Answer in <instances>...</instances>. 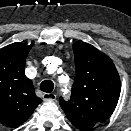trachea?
Returning a JSON list of instances; mask_svg holds the SVG:
<instances>
[{"mask_svg": "<svg viewBox=\"0 0 131 131\" xmlns=\"http://www.w3.org/2000/svg\"><path fill=\"white\" fill-rule=\"evenodd\" d=\"M54 89V83L51 80H44L40 84V90L46 93H51Z\"/></svg>", "mask_w": 131, "mask_h": 131, "instance_id": "3493384b", "label": "trachea"}]
</instances>
